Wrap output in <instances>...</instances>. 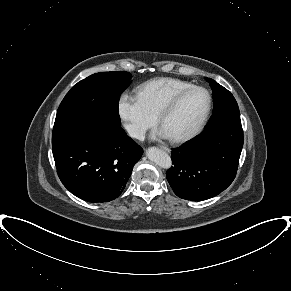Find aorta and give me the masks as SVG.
Instances as JSON below:
<instances>
[{"label": "aorta", "instance_id": "aorta-1", "mask_svg": "<svg viewBox=\"0 0 291 291\" xmlns=\"http://www.w3.org/2000/svg\"><path fill=\"white\" fill-rule=\"evenodd\" d=\"M146 155L150 161L160 166L161 168L168 169L172 166L170 156L157 147L149 148L146 152Z\"/></svg>", "mask_w": 291, "mask_h": 291}]
</instances>
